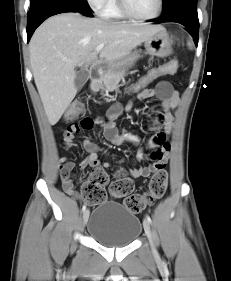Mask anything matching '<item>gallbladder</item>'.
<instances>
[{"label": "gallbladder", "instance_id": "gallbladder-1", "mask_svg": "<svg viewBox=\"0 0 231 281\" xmlns=\"http://www.w3.org/2000/svg\"><path fill=\"white\" fill-rule=\"evenodd\" d=\"M89 78V73L85 69H80L76 72L74 84L76 89H81Z\"/></svg>", "mask_w": 231, "mask_h": 281}]
</instances>
